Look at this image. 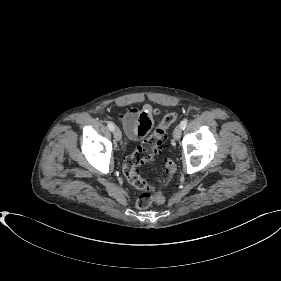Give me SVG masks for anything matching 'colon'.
Masks as SVG:
<instances>
[{"label":"colon","mask_w":281,"mask_h":281,"mask_svg":"<svg viewBox=\"0 0 281 281\" xmlns=\"http://www.w3.org/2000/svg\"><path fill=\"white\" fill-rule=\"evenodd\" d=\"M177 118L176 113L167 114L144 142L123 161L122 171L125 178L131 185L143 192L136 199L137 208L145 209L153 203L161 204L164 202L163 189L170 182L176 170L173 160L170 158L165 159L164 171L166 179L159 184H151L143 179L138 167L153 160L160 153L161 145L166 139V131L176 122Z\"/></svg>","instance_id":"obj_1"}]
</instances>
